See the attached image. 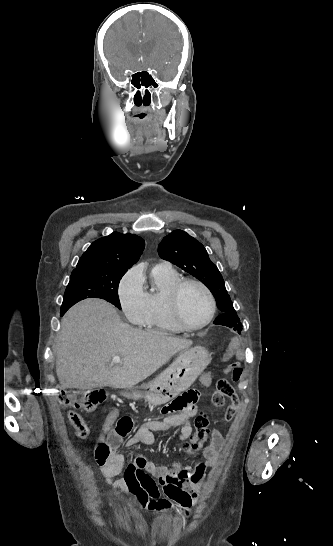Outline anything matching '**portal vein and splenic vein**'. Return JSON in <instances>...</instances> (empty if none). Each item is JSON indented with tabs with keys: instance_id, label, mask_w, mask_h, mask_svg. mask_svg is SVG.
<instances>
[{
	"instance_id": "18ae733b",
	"label": "portal vein and splenic vein",
	"mask_w": 333,
	"mask_h": 546,
	"mask_svg": "<svg viewBox=\"0 0 333 546\" xmlns=\"http://www.w3.org/2000/svg\"><path fill=\"white\" fill-rule=\"evenodd\" d=\"M112 362L113 363H120L121 362L120 356H113L112 357Z\"/></svg>"
}]
</instances>
